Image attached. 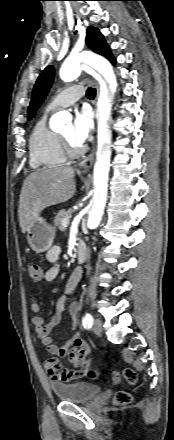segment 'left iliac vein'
<instances>
[{"label":"left iliac vein","instance_id":"obj_1","mask_svg":"<svg viewBox=\"0 0 174 440\" xmlns=\"http://www.w3.org/2000/svg\"><path fill=\"white\" fill-rule=\"evenodd\" d=\"M92 330L97 335H99L102 332V321L99 318H96L94 320Z\"/></svg>","mask_w":174,"mask_h":440}]
</instances>
